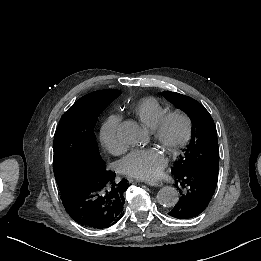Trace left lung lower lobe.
<instances>
[{"label":"left lung lower lobe","instance_id":"obj_1","mask_svg":"<svg viewBox=\"0 0 261 261\" xmlns=\"http://www.w3.org/2000/svg\"><path fill=\"white\" fill-rule=\"evenodd\" d=\"M173 174L180 182H175L180 198L168 214L177 219H190L200 215L214 194L218 175L196 169Z\"/></svg>","mask_w":261,"mask_h":261}]
</instances>
